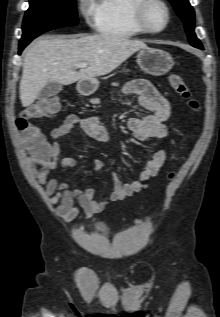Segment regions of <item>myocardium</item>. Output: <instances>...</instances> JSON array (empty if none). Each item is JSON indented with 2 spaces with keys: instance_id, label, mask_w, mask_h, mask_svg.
Instances as JSON below:
<instances>
[{
  "instance_id": "f54148a6",
  "label": "myocardium",
  "mask_w": 220,
  "mask_h": 317,
  "mask_svg": "<svg viewBox=\"0 0 220 317\" xmlns=\"http://www.w3.org/2000/svg\"><path fill=\"white\" fill-rule=\"evenodd\" d=\"M157 4L161 6L165 12L166 21L162 28H154L150 25L147 18V11L150 5ZM134 19L137 25L148 33H161L163 32L171 21V10L165 0H139L134 8Z\"/></svg>"
}]
</instances>
